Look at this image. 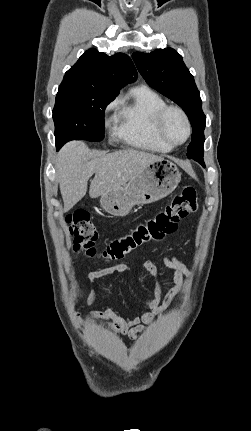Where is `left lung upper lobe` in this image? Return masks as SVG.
Returning a JSON list of instances; mask_svg holds the SVG:
<instances>
[{"mask_svg":"<svg viewBox=\"0 0 251 431\" xmlns=\"http://www.w3.org/2000/svg\"><path fill=\"white\" fill-rule=\"evenodd\" d=\"M132 58L149 86L185 111L192 125V139L187 148V156L204 166L206 116L202 111V101L194 77L185 66L182 56L174 49L167 48L151 53L135 52Z\"/></svg>","mask_w":251,"mask_h":431,"instance_id":"obj_1","label":"left lung upper lobe"}]
</instances>
